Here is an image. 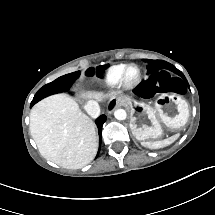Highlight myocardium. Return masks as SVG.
Masks as SVG:
<instances>
[{
  "mask_svg": "<svg viewBox=\"0 0 215 215\" xmlns=\"http://www.w3.org/2000/svg\"><path fill=\"white\" fill-rule=\"evenodd\" d=\"M141 80V73L137 65L135 64H125L123 69L116 78L115 87L117 90H131L133 89Z\"/></svg>",
  "mask_w": 215,
  "mask_h": 215,
  "instance_id": "1",
  "label": "myocardium"
}]
</instances>
